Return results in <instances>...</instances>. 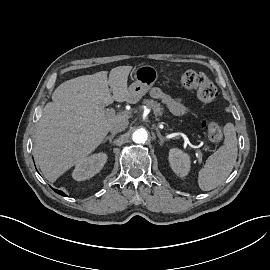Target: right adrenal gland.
Segmentation results:
<instances>
[{"label": "right adrenal gland", "instance_id": "obj_1", "mask_svg": "<svg viewBox=\"0 0 270 270\" xmlns=\"http://www.w3.org/2000/svg\"><path fill=\"white\" fill-rule=\"evenodd\" d=\"M115 135H116V133H112L111 135L107 136V137L102 141V143H105V142L109 141V144H111L113 138L115 137Z\"/></svg>", "mask_w": 270, "mask_h": 270}]
</instances>
